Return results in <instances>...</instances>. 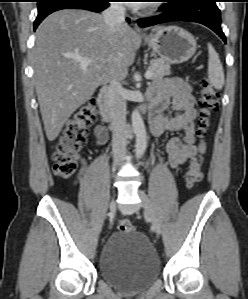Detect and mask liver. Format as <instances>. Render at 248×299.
Here are the masks:
<instances>
[{"label": "liver", "mask_w": 248, "mask_h": 299, "mask_svg": "<svg viewBox=\"0 0 248 299\" xmlns=\"http://www.w3.org/2000/svg\"><path fill=\"white\" fill-rule=\"evenodd\" d=\"M135 55V33L126 24L110 29L103 15L77 9L60 10L44 19L36 31L32 60L47 139L57 138L97 87L114 76L125 77ZM77 56L93 62L81 68Z\"/></svg>", "instance_id": "6515ba94"}]
</instances>
